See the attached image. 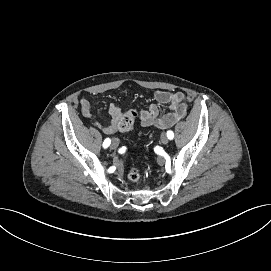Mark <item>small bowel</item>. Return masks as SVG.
<instances>
[{"label": "small bowel", "instance_id": "small-bowel-1", "mask_svg": "<svg viewBox=\"0 0 271 271\" xmlns=\"http://www.w3.org/2000/svg\"><path fill=\"white\" fill-rule=\"evenodd\" d=\"M156 103L150 105L148 109L141 110L138 118L143 127L156 126L159 128H168L181 120L187 112V96L183 92H170L158 90L154 94ZM169 105V111L161 113L159 105ZM81 112L85 117L93 118V112L90 102L82 98L80 100ZM108 112L111 116L109 123L103 125L95 121V125L99 127L105 134H113L118 128L119 121L123 116L122 109L110 104Z\"/></svg>", "mask_w": 271, "mask_h": 271}]
</instances>
